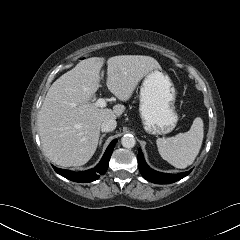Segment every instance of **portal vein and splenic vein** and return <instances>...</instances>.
Here are the masks:
<instances>
[{"instance_id": "portal-vein-and-splenic-vein-1", "label": "portal vein and splenic vein", "mask_w": 240, "mask_h": 240, "mask_svg": "<svg viewBox=\"0 0 240 240\" xmlns=\"http://www.w3.org/2000/svg\"><path fill=\"white\" fill-rule=\"evenodd\" d=\"M93 105L96 106V107L103 108V107H106L107 102H106L105 99L100 98V99H98L96 102H94Z\"/></svg>"}]
</instances>
